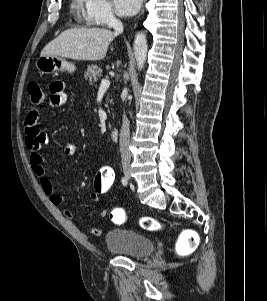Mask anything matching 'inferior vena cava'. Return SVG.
<instances>
[{
	"label": "inferior vena cava",
	"instance_id": "obj_1",
	"mask_svg": "<svg viewBox=\"0 0 267 301\" xmlns=\"http://www.w3.org/2000/svg\"><path fill=\"white\" fill-rule=\"evenodd\" d=\"M112 26L116 33H121L123 31V24L118 19H114L112 22ZM129 141H130V129H129V121L126 115H123V123L120 130V153H121V161L123 164L130 163L131 153L129 150Z\"/></svg>",
	"mask_w": 267,
	"mask_h": 301
}]
</instances>
